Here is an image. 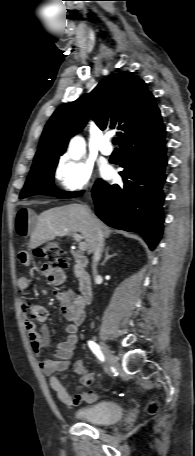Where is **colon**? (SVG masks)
<instances>
[{
    "instance_id": "obj_1",
    "label": "colon",
    "mask_w": 195,
    "mask_h": 456,
    "mask_svg": "<svg viewBox=\"0 0 195 456\" xmlns=\"http://www.w3.org/2000/svg\"><path fill=\"white\" fill-rule=\"evenodd\" d=\"M36 256L45 260L46 264L51 267H65L66 260L63 252L56 243H48L44 247L39 248L35 252ZM159 404L157 401H153L147 405V412L149 414H155L158 411Z\"/></svg>"
}]
</instances>
